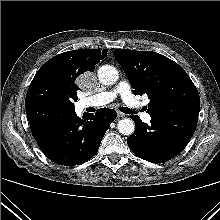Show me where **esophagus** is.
Wrapping results in <instances>:
<instances>
[{
    "label": "esophagus",
    "mask_w": 220,
    "mask_h": 220,
    "mask_svg": "<svg viewBox=\"0 0 220 220\" xmlns=\"http://www.w3.org/2000/svg\"><path fill=\"white\" fill-rule=\"evenodd\" d=\"M117 116L118 117H125V114L120 111H117Z\"/></svg>",
    "instance_id": "esophagus-1"
}]
</instances>
